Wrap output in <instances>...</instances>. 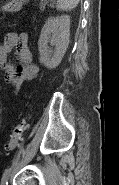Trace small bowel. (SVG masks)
<instances>
[{"mask_svg":"<svg viewBox=\"0 0 119 185\" xmlns=\"http://www.w3.org/2000/svg\"><path fill=\"white\" fill-rule=\"evenodd\" d=\"M15 50L18 65L8 61V54ZM0 68L4 71L5 81L20 89L24 82L32 80L38 73V66L32 59L26 33L9 32L0 46Z\"/></svg>","mask_w":119,"mask_h":185,"instance_id":"obj_1","label":"small bowel"}]
</instances>
